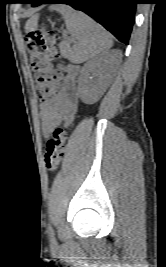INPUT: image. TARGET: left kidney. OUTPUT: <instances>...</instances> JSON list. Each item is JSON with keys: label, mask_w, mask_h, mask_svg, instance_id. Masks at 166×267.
<instances>
[{"label": "left kidney", "mask_w": 166, "mask_h": 267, "mask_svg": "<svg viewBox=\"0 0 166 267\" xmlns=\"http://www.w3.org/2000/svg\"><path fill=\"white\" fill-rule=\"evenodd\" d=\"M109 60L107 54L98 55L88 61L81 72L78 92L81 100L88 105L96 103L110 83ZM96 77L94 80L90 75Z\"/></svg>", "instance_id": "left-kidney-1"}]
</instances>
